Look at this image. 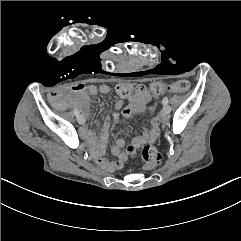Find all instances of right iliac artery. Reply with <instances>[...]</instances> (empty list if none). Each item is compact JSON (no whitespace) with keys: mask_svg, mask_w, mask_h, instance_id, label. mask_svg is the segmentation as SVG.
Listing matches in <instances>:
<instances>
[{"mask_svg":"<svg viewBox=\"0 0 241 241\" xmlns=\"http://www.w3.org/2000/svg\"><path fill=\"white\" fill-rule=\"evenodd\" d=\"M73 113L74 115L78 116L79 115V111L77 109H73Z\"/></svg>","mask_w":241,"mask_h":241,"instance_id":"1","label":"right iliac artery"}]
</instances>
